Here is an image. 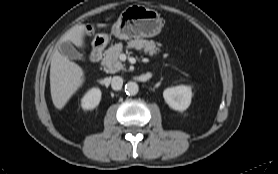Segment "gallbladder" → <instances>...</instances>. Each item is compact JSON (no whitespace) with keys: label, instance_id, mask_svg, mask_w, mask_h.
Returning a JSON list of instances; mask_svg holds the SVG:
<instances>
[{"label":"gallbladder","instance_id":"gallbladder-1","mask_svg":"<svg viewBox=\"0 0 278 174\" xmlns=\"http://www.w3.org/2000/svg\"><path fill=\"white\" fill-rule=\"evenodd\" d=\"M58 50L69 59L85 61L83 55L80 54L69 42H62L59 44Z\"/></svg>","mask_w":278,"mask_h":174}]
</instances>
